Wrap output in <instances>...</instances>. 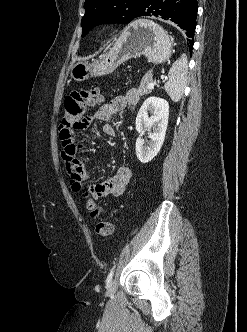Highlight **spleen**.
<instances>
[{"instance_id": "3e777b00", "label": "spleen", "mask_w": 247, "mask_h": 332, "mask_svg": "<svg viewBox=\"0 0 247 332\" xmlns=\"http://www.w3.org/2000/svg\"><path fill=\"white\" fill-rule=\"evenodd\" d=\"M187 72V58L182 54L170 68L168 80L164 85L165 91L174 102H178L183 96L187 85Z\"/></svg>"}]
</instances>
